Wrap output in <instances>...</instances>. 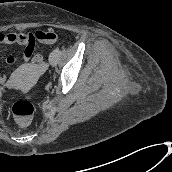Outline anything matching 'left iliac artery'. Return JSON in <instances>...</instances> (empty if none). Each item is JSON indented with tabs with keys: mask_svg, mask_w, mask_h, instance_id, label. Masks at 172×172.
I'll list each match as a JSON object with an SVG mask.
<instances>
[{
	"mask_svg": "<svg viewBox=\"0 0 172 172\" xmlns=\"http://www.w3.org/2000/svg\"><path fill=\"white\" fill-rule=\"evenodd\" d=\"M54 51H55L57 54H60V48H56Z\"/></svg>",
	"mask_w": 172,
	"mask_h": 172,
	"instance_id": "1",
	"label": "left iliac artery"
}]
</instances>
